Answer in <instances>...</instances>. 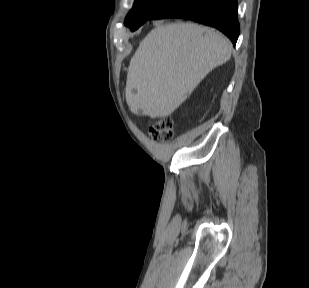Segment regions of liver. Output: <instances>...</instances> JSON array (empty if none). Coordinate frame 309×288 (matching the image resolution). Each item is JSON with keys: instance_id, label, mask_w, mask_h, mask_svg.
I'll list each match as a JSON object with an SVG mask.
<instances>
[{"instance_id": "1", "label": "liver", "mask_w": 309, "mask_h": 288, "mask_svg": "<svg viewBox=\"0 0 309 288\" xmlns=\"http://www.w3.org/2000/svg\"><path fill=\"white\" fill-rule=\"evenodd\" d=\"M231 53V42L213 28L157 24L130 61L126 81L130 110L151 118L171 115Z\"/></svg>"}]
</instances>
